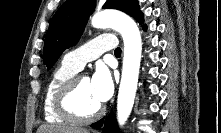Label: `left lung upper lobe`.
Returning a JSON list of instances; mask_svg holds the SVG:
<instances>
[{"mask_svg": "<svg viewBox=\"0 0 221 133\" xmlns=\"http://www.w3.org/2000/svg\"><path fill=\"white\" fill-rule=\"evenodd\" d=\"M96 0H67L55 13L44 44L43 61L50 69L62 52L75 45L84 30L90 14L94 11ZM103 8H113L143 22L137 0H107Z\"/></svg>", "mask_w": 221, "mask_h": 133, "instance_id": "5c2ea615", "label": "left lung upper lobe"}]
</instances>
